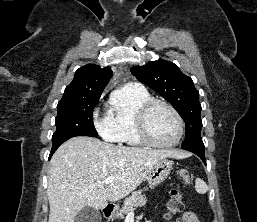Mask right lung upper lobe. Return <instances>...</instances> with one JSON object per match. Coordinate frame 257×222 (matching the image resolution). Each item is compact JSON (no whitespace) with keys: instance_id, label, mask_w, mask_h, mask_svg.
Segmentation results:
<instances>
[{"instance_id":"right-lung-upper-lobe-1","label":"right lung upper lobe","mask_w":257,"mask_h":222,"mask_svg":"<svg viewBox=\"0 0 257 222\" xmlns=\"http://www.w3.org/2000/svg\"><path fill=\"white\" fill-rule=\"evenodd\" d=\"M112 75L113 72L108 67L87 64L75 72L74 79L66 87L61 100L101 96Z\"/></svg>"}]
</instances>
